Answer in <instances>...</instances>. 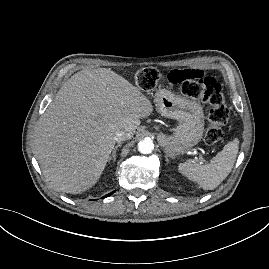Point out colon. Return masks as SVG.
Returning a JSON list of instances; mask_svg holds the SVG:
<instances>
[{"mask_svg":"<svg viewBox=\"0 0 269 269\" xmlns=\"http://www.w3.org/2000/svg\"><path fill=\"white\" fill-rule=\"evenodd\" d=\"M162 78L160 71L153 67L140 69L134 75L136 85L145 91L153 90ZM178 85L185 96L200 99L210 106L205 141L208 144L218 143L224 137L223 126L229 119L221 84L214 77L206 76L202 80L195 79Z\"/></svg>","mask_w":269,"mask_h":269,"instance_id":"obj_1","label":"colon"}]
</instances>
